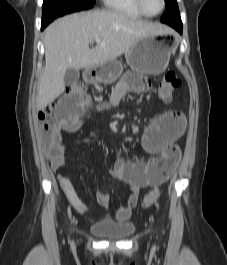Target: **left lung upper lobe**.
Returning a JSON list of instances; mask_svg holds the SVG:
<instances>
[{
	"instance_id": "left-lung-upper-lobe-1",
	"label": "left lung upper lobe",
	"mask_w": 227,
	"mask_h": 265,
	"mask_svg": "<svg viewBox=\"0 0 227 265\" xmlns=\"http://www.w3.org/2000/svg\"><path fill=\"white\" fill-rule=\"evenodd\" d=\"M166 3V11L161 17V22L166 23L168 25L181 24L180 13L178 9V4L176 0H165Z\"/></svg>"
}]
</instances>
